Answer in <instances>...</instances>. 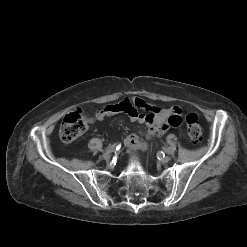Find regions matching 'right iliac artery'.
I'll use <instances>...</instances> for the list:
<instances>
[{"instance_id":"right-iliac-artery-1","label":"right iliac artery","mask_w":247,"mask_h":247,"mask_svg":"<svg viewBox=\"0 0 247 247\" xmlns=\"http://www.w3.org/2000/svg\"><path fill=\"white\" fill-rule=\"evenodd\" d=\"M120 148V144H114V145H109L105 151L106 152H112L114 150H118Z\"/></svg>"}]
</instances>
